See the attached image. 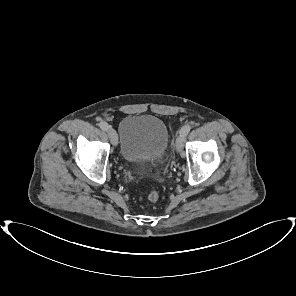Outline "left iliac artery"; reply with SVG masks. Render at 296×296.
<instances>
[{
    "instance_id": "1",
    "label": "left iliac artery",
    "mask_w": 296,
    "mask_h": 296,
    "mask_svg": "<svg viewBox=\"0 0 296 296\" xmlns=\"http://www.w3.org/2000/svg\"><path fill=\"white\" fill-rule=\"evenodd\" d=\"M190 130H191V126L190 125H185V126H183L181 128L180 133H183V134L187 135Z\"/></svg>"
}]
</instances>
